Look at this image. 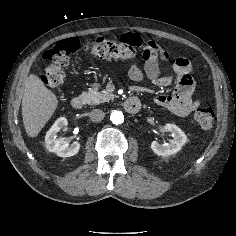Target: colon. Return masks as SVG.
I'll list each match as a JSON object with an SVG mask.
<instances>
[{
    "mask_svg": "<svg viewBox=\"0 0 236 236\" xmlns=\"http://www.w3.org/2000/svg\"><path fill=\"white\" fill-rule=\"evenodd\" d=\"M139 47L135 43L100 37L87 42L84 45V51L100 59L130 60L141 57L145 61L157 58L162 53L157 47L145 48L139 52ZM78 48L79 41L76 38H68L58 42L44 53L43 58L46 64L41 78L47 86L58 87L64 83V68L68 65L71 55ZM195 120L201 128L210 129L214 123V112L210 108H200L195 113Z\"/></svg>",
    "mask_w": 236,
    "mask_h": 236,
    "instance_id": "colon-1",
    "label": "colon"
}]
</instances>
